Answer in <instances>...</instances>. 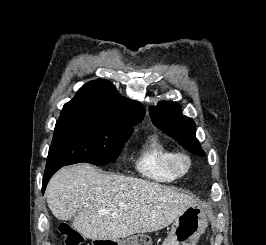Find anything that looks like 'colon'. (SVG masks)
Wrapping results in <instances>:
<instances>
[{
	"instance_id": "colon-1",
	"label": "colon",
	"mask_w": 266,
	"mask_h": 245,
	"mask_svg": "<svg viewBox=\"0 0 266 245\" xmlns=\"http://www.w3.org/2000/svg\"><path fill=\"white\" fill-rule=\"evenodd\" d=\"M58 234L64 238L65 245H83L84 239L81 234L71 228L66 222L59 226Z\"/></svg>"
}]
</instances>
